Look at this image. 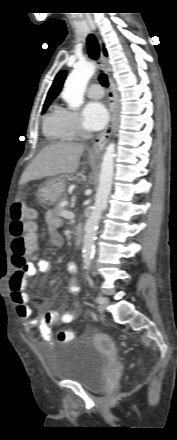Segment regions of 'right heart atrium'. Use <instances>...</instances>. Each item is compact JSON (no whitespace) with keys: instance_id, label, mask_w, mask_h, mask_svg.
Segmentation results:
<instances>
[{"instance_id":"obj_1","label":"right heart atrium","mask_w":177,"mask_h":440,"mask_svg":"<svg viewBox=\"0 0 177 440\" xmlns=\"http://www.w3.org/2000/svg\"><path fill=\"white\" fill-rule=\"evenodd\" d=\"M60 114L64 131L69 137L78 136L83 133L80 118L75 111L60 109Z\"/></svg>"}]
</instances>
